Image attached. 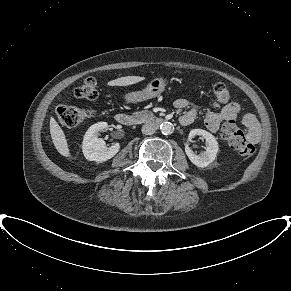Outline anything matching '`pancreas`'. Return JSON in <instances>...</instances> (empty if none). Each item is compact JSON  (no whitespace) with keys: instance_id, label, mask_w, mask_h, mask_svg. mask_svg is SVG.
Here are the masks:
<instances>
[{"instance_id":"obj_1","label":"pancreas","mask_w":291,"mask_h":291,"mask_svg":"<svg viewBox=\"0 0 291 291\" xmlns=\"http://www.w3.org/2000/svg\"><path fill=\"white\" fill-rule=\"evenodd\" d=\"M132 116H133L134 122L136 124L144 123L147 120L153 118V114L150 111H148V110H144V111H140V112H135V113H133Z\"/></svg>"}]
</instances>
